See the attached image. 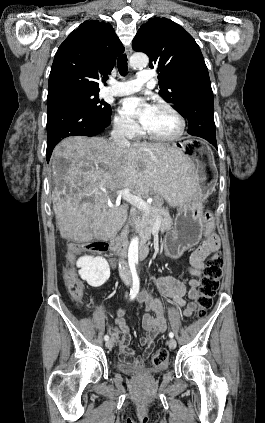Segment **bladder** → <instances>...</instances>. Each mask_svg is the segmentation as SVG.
Wrapping results in <instances>:
<instances>
[{"instance_id": "31cf9c89", "label": "bladder", "mask_w": 265, "mask_h": 423, "mask_svg": "<svg viewBox=\"0 0 265 423\" xmlns=\"http://www.w3.org/2000/svg\"><path fill=\"white\" fill-rule=\"evenodd\" d=\"M117 367L124 372L132 373V374H141V375H153L158 373L159 371L163 370L166 366H155V367H144V366H137L134 364H128L123 362L122 359H120L117 363Z\"/></svg>"}]
</instances>
